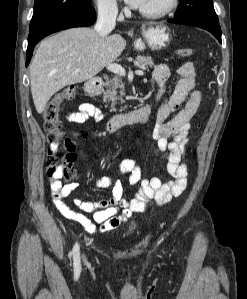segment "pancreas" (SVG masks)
<instances>
[{"instance_id": "pancreas-1", "label": "pancreas", "mask_w": 247, "mask_h": 299, "mask_svg": "<svg viewBox=\"0 0 247 299\" xmlns=\"http://www.w3.org/2000/svg\"><path fill=\"white\" fill-rule=\"evenodd\" d=\"M136 62L139 66L148 69L149 67L152 68L154 66V62L151 57L145 56H137ZM105 89H102V93L104 94L103 100L104 102H112L111 110L116 111L114 106L120 101L121 104L124 103L123 97L125 96V87L124 82L119 75H115L110 79H106L104 85ZM126 107H121L120 112L124 111Z\"/></svg>"}]
</instances>
